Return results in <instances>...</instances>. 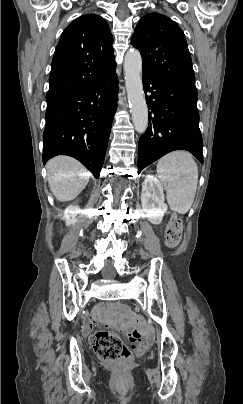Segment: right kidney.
I'll return each instance as SVG.
<instances>
[{
    "instance_id": "ca27d5eb",
    "label": "right kidney",
    "mask_w": 243,
    "mask_h": 404,
    "mask_svg": "<svg viewBox=\"0 0 243 404\" xmlns=\"http://www.w3.org/2000/svg\"><path fill=\"white\" fill-rule=\"evenodd\" d=\"M77 214H80L79 206H68L66 208L62 220H65L66 226H74L77 222Z\"/></svg>"
}]
</instances>
